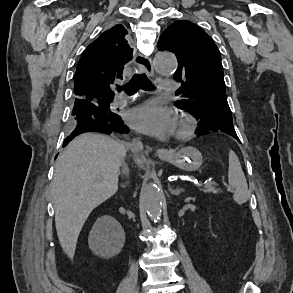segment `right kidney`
<instances>
[{
    "instance_id": "right-kidney-1",
    "label": "right kidney",
    "mask_w": 293,
    "mask_h": 293,
    "mask_svg": "<svg viewBox=\"0 0 293 293\" xmlns=\"http://www.w3.org/2000/svg\"><path fill=\"white\" fill-rule=\"evenodd\" d=\"M108 221L115 223L117 226V232L112 227L108 228V234L106 239L103 241V249L109 252L110 255L118 254L125 242V234L119 223L112 217H108Z\"/></svg>"
}]
</instances>
